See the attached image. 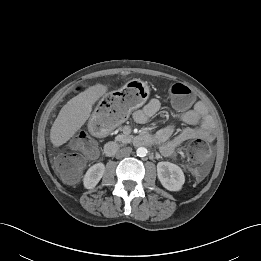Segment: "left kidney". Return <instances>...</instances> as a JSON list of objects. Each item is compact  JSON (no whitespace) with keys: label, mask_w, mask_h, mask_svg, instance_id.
Listing matches in <instances>:
<instances>
[{"label":"left kidney","mask_w":261,"mask_h":261,"mask_svg":"<svg viewBox=\"0 0 261 261\" xmlns=\"http://www.w3.org/2000/svg\"><path fill=\"white\" fill-rule=\"evenodd\" d=\"M157 176L164 188L169 191H179L185 182L182 169L170 162H159L157 164Z\"/></svg>","instance_id":"left-kidney-1"}]
</instances>
